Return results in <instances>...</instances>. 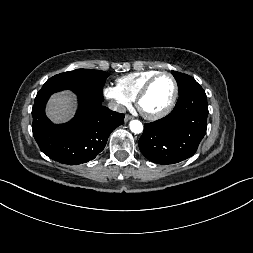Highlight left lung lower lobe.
<instances>
[{
    "label": "left lung lower lobe",
    "mask_w": 253,
    "mask_h": 253,
    "mask_svg": "<svg viewBox=\"0 0 253 253\" xmlns=\"http://www.w3.org/2000/svg\"><path fill=\"white\" fill-rule=\"evenodd\" d=\"M208 104L203 88L193 83L179 93L173 111L146 123L138 145L150 161L168 165L193 156L207 129Z\"/></svg>",
    "instance_id": "left-lung-lower-lobe-1"
}]
</instances>
